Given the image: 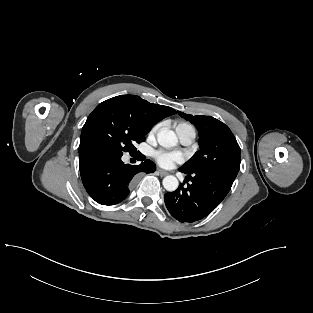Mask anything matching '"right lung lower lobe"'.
<instances>
[{"label":"right lung lower lobe","instance_id":"obj_1","mask_svg":"<svg viewBox=\"0 0 313 313\" xmlns=\"http://www.w3.org/2000/svg\"><path fill=\"white\" fill-rule=\"evenodd\" d=\"M140 165L124 164L123 153L94 147L79 152L80 174L88 194L99 204L114 205L123 201L140 172L152 173L156 166L138 152Z\"/></svg>","mask_w":313,"mask_h":313}]
</instances>
